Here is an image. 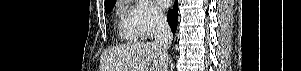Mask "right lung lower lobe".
<instances>
[{
	"instance_id": "1",
	"label": "right lung lower lobe",
	"mask_w": 301,
	"mask_h": 71,
	"mask_svg": "<svg viewBox=\"0 0 301 71\" xmlns=\"http://www.w3.org/2000/svg\"><path fill=\"white\" fill-rule=\"evenodd\" d=\"M177 12H178V0H175L174 10L168 11V23L171 30L174 32L177 29Z\"/></svg>"
}]
</instances>
